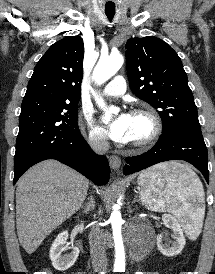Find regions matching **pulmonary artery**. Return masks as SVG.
I'll return each mask as SVG.
<instances>
[{"label":"pulmonary artery","mask_w":215,"mask_h":274,"mask_svg":"<svg viewBox=\"0 0 215 274\" xmlns=\"http://www.w3.org/2000/svg\"><path fill=\"white\" fill-rule=\"evenodd\" d=\"M126 90V81L123 76H115L103 89V94L107 96H120Z\"/></svg>","instance_id":"pulmonary-artery-1"}]
</instances>
